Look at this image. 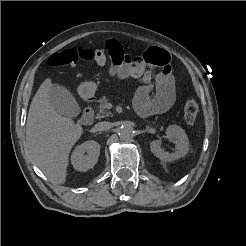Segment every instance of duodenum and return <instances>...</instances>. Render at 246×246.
I'll return each mask as SVG.
<instances>
[{
    "mask_svg": "<svg viewBox=\"0 0 246 246\" xmlns=\"http://www.w3.org/2000/svg\"><path fill=\"white\" fill-rule=\"evenodd\" d=\"M95 98L94 97H90L88 98L87 102V106L84 108L82 116L80 118V122L83 125H90L93 122V118H94V110H93V102H94Z\"/></svg>",
    "mask_w": 246,
    "mask_h": 246,
    "instance_id": "duodenum-1",
    "label": "duodenum"
}]
</instances>
